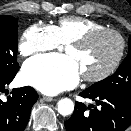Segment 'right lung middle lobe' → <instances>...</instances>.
<instances>
[{
    "label": "right lung middle lobe",
    "mask_w": 131,
    "mask_h": 131,
    "mask_svg": "<svg viewBox=\"0 0 131 131\" xmlns=\"http://www.w3.org/2000/svg\"><path fill=\"white\" fill-rule=\"evenodd\" d=\"M18 21L12 16H0V79L11 77L19 69L17 63Z\"/></svg>",
    "instance_id": "obj_1"
}]
</instances>
